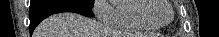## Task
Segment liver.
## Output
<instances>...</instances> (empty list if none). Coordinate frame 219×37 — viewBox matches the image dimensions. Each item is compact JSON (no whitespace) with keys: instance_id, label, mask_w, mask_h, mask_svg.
<instances>
[{"instance_id":"1","label":"liver","mask_w":219,"mask_h":37,"mask_svg":"<svg viewBox=\"0 0 219 37\" xmlns=\"http://www.w3.org/2000/svg\"><path fill=\"white\" fill-rule=\"evenodd\" d=\"M33 37H101L100 23L77 13L63 12L43 20L35 29ZM104 37V36H103Z\"/></svg>"}]
</instances>
